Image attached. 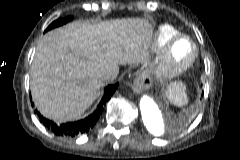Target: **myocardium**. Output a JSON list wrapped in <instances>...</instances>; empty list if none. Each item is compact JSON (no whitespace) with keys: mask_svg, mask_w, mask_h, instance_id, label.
<instances>
[{"mask_svg":"<svg viewBox=\"0 0 240 160\" xmlns=\"http://www.w3.org/2000/svg\"><path fill=\"white\" fill-rule=\"evenodd\" d=\"M185 40L191 46L190 54L182 60L174 55V48L177 42ZM199 53L197 43L188 35L178 34L174 36L163 48L156 64V76L161 81L170 80L186 72L195 62Z\"/></svg>","mask_w":240,"mask_h":160,"instance_id":"1","label":"myocardium"}]
</instances>
